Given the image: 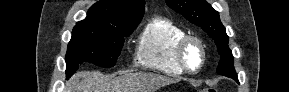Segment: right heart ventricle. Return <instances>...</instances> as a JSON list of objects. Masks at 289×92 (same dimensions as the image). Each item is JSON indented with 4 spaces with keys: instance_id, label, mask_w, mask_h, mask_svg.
Listing matches in <instances>:
<instances>
[{
    "instance_id": "1",
    "label": "right heart ventricle",
    "mask_w": 289,
    "mask_h": 92,
    "mask_svg": "<svg viewBox=\"0 0 289 92\" xmlns=\"http://www.w3.org/2000/svg\"><path fill=\"white\" fill-rule=\"evenodd\" d=\"M185 35V30L175 22L153 18L139 37L136 63L171 76L184 74L177 58V47Z\"/></svg>"
}]
</instances>
